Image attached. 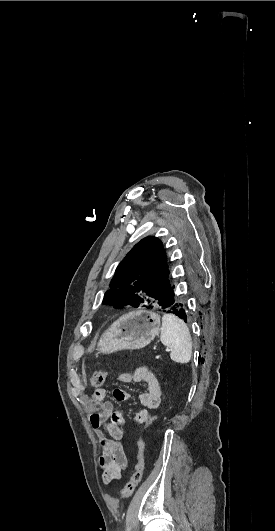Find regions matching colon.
I'll list each match as a JSON object with an SVG mask.
<instances>
[{"instance_id":"5ec220e1","label":"colon","mask_w":275,"mask_h":531,"mask_svg":"<svg viewBox=\"0 0 275 531\" xmlns=\"http://www.w3.org/2000/svg\"><path fill=\"white\" fill-rule=\"evenodd\" d=\"M107 379V372L105 369H97L92 378L91 386L95 389L102 388ZM159 418V412L151 413L150 417L147 418L144 423L143 435H146L150 432L153 426L156 425ZM144 437L141 436L137 441V453H136V463L135 471L132 474L130 480L126 483L123 489L118 493L117 498L119 500H125L131 496L134 492L137 485L140 483L144 470Z\"/></svg>"}]
</instances>
